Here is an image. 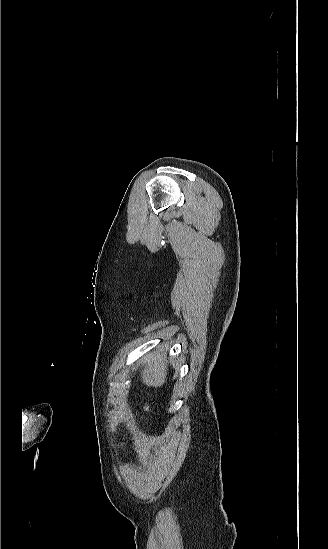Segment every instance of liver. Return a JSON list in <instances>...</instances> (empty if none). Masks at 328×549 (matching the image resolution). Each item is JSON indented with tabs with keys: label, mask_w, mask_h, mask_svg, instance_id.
Returning a JSON list of instances; mask_svg holds the SVG:
<instances>
[{
	"label": "liver",
	"mask_w": 328,
	"mask_h": 549,
	"mask_svg": "<svg viewBox=\"0 0 328 549\" xmlns=\"http://www.w3.org/2000/svg\"><path fill=\"white\" fill-rule=\"evenodd\" d=\"M167 361L164 355L157 353L155 357H151L145 367L141 377L144 385L148 387H162L167 379Z\"/></svg>",
	"instance_id": "obj_1"
}]
</instances>
